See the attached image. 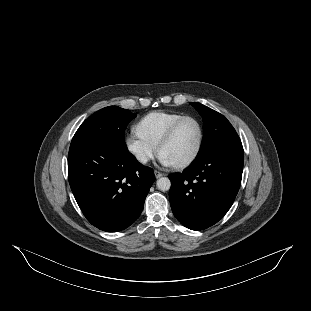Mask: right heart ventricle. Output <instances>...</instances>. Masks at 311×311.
Returning a JSON list of instances; mask_svg holds the SVG:
<instances>
[{
  "mask_svg": "<svg viewBox=\"0 0 311 311\" xmlns=\"http://www.w3.org/2000/svg\"><path fill=\"white\" fill-rule=\"evenodd\" d=\"M183 113L154 111L144 115L135 124L137 134L149 145L157 148L160 140Z\"/></svg>",
  "mask_w": 311,
  "mask_h": 311,
  "instance_id": "e07e8e85",
  "label": "right heart ventricle"
}]
</instances>
